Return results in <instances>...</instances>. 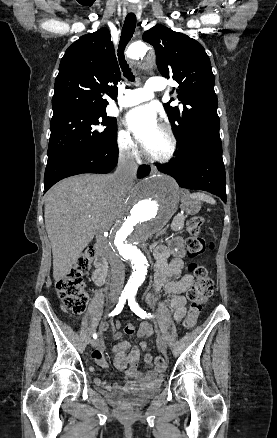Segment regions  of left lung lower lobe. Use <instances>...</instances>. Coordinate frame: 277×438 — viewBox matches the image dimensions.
<instances>
[{
  "label": "left lung lower lobe",
  "mask_w": 277,
  "mask_h": 438,
  "mask_svg": "<svg viewBox=\"0 0 277 438\" xmlns=\"http://www.w3.org/2000/svg\"><path fill=\"white\" fill-rule=\"evenodd\" d=\"M157 169L176 179L180 187L199 189L219 196L226 203V176L222 159L219 125L206 127L199 139L184 154Z\"/></svg>",
  "instance_id": "left-lung-lower-lobe-1"
}]
</instances>
